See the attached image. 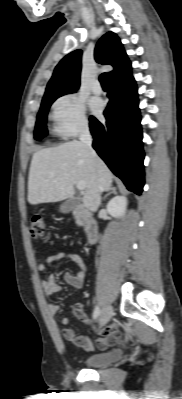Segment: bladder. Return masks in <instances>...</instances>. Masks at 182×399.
<instances>
[{"mask_svg":"<svg viewBox=\"0 0 182 399\" xmlns=\"http://www.w3.org/2000/svg\"><path fill=\"white\" fill-rule=\"evenodd\" d=\"M123 355L122 349H113L104 353L87 356L83 363L90 368H99L119 360Z\"/></svg>","mask_w":182,"mask_h":399,"instance_id":"bladder-1","label":"bladder"}]
</instances>
